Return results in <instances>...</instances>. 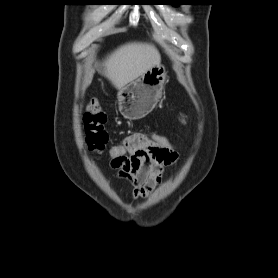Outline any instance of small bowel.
<instances>
[{
	"instance_id": "obj_1",
	"label": "small bowel",
	"mask_w": 278,
	"mask_h": 278,
	"mask_svg": "<svg viewBox=\"0 0 278 278\" xmlns=\"http://www.w3.org/2000/svg\"><path fill=\"white\" fill-rule=\"evenodd\" d=\"M125 154L111 159L110 166L119 179L133 186L134 198H145L161 182L165 169L174 164L178 154L163 150L150 136L133 133L123 141Z\"/></svg>"
}]
</instances>
